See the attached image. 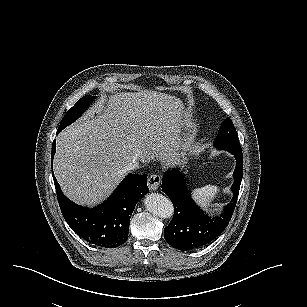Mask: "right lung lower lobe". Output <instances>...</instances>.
<instances>
[{"instance_id": "98d812e1", "label": "right lung lower lobe", "mask_w": 307, "mask_h": 307, "mask_svg": "<svg viewBox=\"0 0 307 307\" xmlns=\"http://www.w3.org/2000/svg\"><path fill=\"white\" fill-rule=\"evenodd\" d=\"M52 145V160L55 154ZM57 198L68 225L91 245L115 248L128 239L130 215L137 200L148 193L147 175L129 174L101 205L93 209L78 206L62 193L54 177Z\"/></svg>"}]
</instances>
